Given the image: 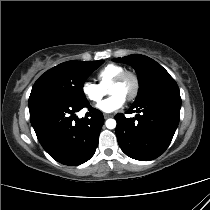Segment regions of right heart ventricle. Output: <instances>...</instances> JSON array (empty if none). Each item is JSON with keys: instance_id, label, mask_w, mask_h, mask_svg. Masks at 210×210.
I'll use <instances>...</instances> for the list:
<instances>
[{"instance_id": "1", "label": "right heart ventricle", "mask_w": 210, "mask_h": 210, "mask_svg": "<svg viewBox=\"0 0 210 210\" xmlns=\"http://www.w3.org/2000/svg\"><path fill=\"white\" fill-rule=\"evenodd\" d=\"M123 71H125V69L120 65L113 63L105 65L96 74L99 86L102 89L109 87L114 78Z\"/></svg>"}]
</instances>
